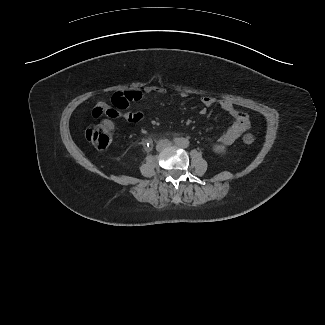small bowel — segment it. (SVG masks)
I'll return each mask as SVG.
<instances>
[{
  "label": "small bowel",
  "mask_w": 325,
  "mask_h": 325,
  "mask_svg": "<svg viewBox=\"0 0 325 325\" xmlns=\"http://www.w3.org/2000/svg\"><path fill=\"white\" fill-rule=\"evenodd\" d=\"M165 90L158 86H148L140 90H133L126 93H118L113 97V105H108L105 102H99L93 109V117H99L102 114L110 119H125L131 123H137L143 118V113L139 110L133 112H125L130 106V102H138L149 94H164ZM183 98L188 95L181 93ZM201 103L204 107H211L218 103L223 110H225L232 118L233 123L227 130L219 137L218 143L223 146H229L236 142L249 128L250 121L248 116L237 110L232 103L227 100H217L211 96H204L201 98ZM205 113V110H202Z\"/></svg>",
  "instance_id": "1"
}]
</instances>
